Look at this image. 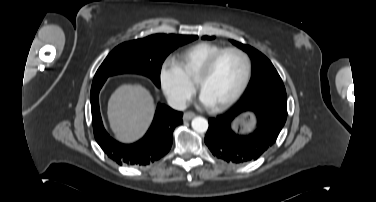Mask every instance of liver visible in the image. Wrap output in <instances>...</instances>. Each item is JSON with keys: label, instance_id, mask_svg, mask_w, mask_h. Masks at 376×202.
Instances as JSON below:
<instances>
[{"label": "liver", "instance_id": "1", "mask_svg": "<svg viewBox=\"0 0 376 202\" xmlns=\"http://www.w3.org/2000/svg\"><path fill=\"white\" fill-rule=\"evenodd\" d=\"M150 92L139 84H125L111 95L108 102V120L115 138L133 143L144 136L154 113Z\"/></svg>", "mask_w": 376, "mask_h": 202}]
</instances>
